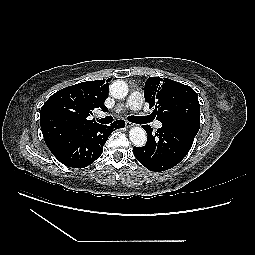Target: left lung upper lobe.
Wrapping results in <instances>:
<instances>
[{
    "mask_svg": "<svg viewBox=\"0 0 255 255\" xmlns=\"http://www.w3.org/2000/svg\"><path fill=\"white\" fill-rule=\"evenodd\" d=\"M145 101L162 123L200 126L198 94L189 86L168 78L150 77L145 83Z\"/></svg>",
    "mask_w": 255,
    "mask_h": 255,
    "instance_id": "5c2ea615",
    "label": "left lung upper lobe"
}]
</instances>
